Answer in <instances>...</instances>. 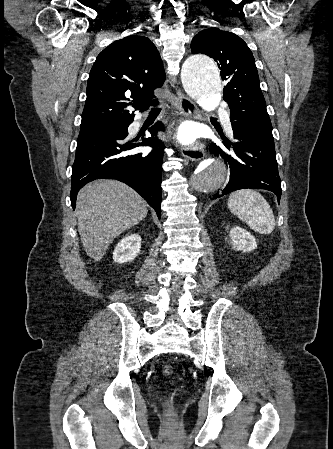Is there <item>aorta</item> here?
I'll return each instance as SVG.
<instances>
[{
    "label": "aorta",
    "mask_w": 333,
    "mask_h": 449,
    "mask_svg": "<svg viewBox=\"0 0 333 449\" xmlns=\"http://www.w3.org/2000/svg\"><path fill=\"white\" fill-rule=\"evenodd\" d=\"M182 85L186 93L205 104L221 99L222 86L217 65L207 55L194 54L182 65ZM227 179L226 162L220 157L208 158L196 165L188 176L189 188L207 194L220 190Z\"/></svg>",
    "instance_id": "aorta-1"
}]
</instances>
